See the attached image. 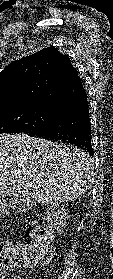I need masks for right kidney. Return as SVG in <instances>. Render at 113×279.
Instances as JSON below:
<instances>
[{"instance_id":"ca27d5eb","label":"right kidney","mask_w":113,"mask_h":279,"mask_svg":"<svg viewBox=\"0 0 113 279\" xmlns=\"http://www.w3.org/2000/svg\"><path fill=\"white\" fill-rule=\"evenodd\" d=\"M69 218L68 209L65 206H53L46 211L45 220L48 223V232L62 234Z\"/></svg>"}]
</instances>
